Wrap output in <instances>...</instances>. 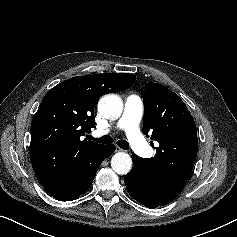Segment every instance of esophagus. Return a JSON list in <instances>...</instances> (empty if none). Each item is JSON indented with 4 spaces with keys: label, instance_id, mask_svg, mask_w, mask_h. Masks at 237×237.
<instances>
[{
    "label": "esophagus",
    "instance_id": "1",
    "mask_svg": "<svg viewBox=\"0 0 237 237\" xmlns=\"http://www.w3.org/2000/svg\"><path fill=\"white\" fill-rule=\"evenodd\" d=\"M116 151L117 152H120V151H123V149L119 148V147H116Z\"/></svg>",
    "mask_w": 237,
    "mask_h": 237
}]
</instances>
